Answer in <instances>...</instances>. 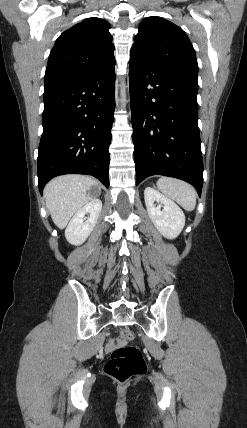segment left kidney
Listing matches in <instances>:
<instances>
[{"instance_id": "left-kidney-1", "label": "left kidney", "mask_w": 247, "mask_h": 428, "mask_svg": "<svg viewBox=\"0 0 247 428\" xmlns=\"http://www.w3.org/2000/svg\"><path fill=\"white\" fill-rule=\"evenodd\" d=\"M144 199L148 215L157 230L168 239L176 238L185 225L181 208L152 187L145 189ZM155 202L159 204L156 206Z\"/></svg>"}]
</instances>
